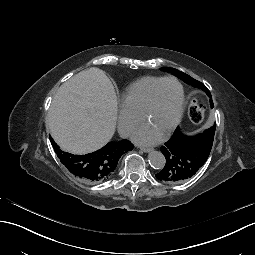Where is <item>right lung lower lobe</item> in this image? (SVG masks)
I'll list each match as a JSON object with an SVG mask.
<instances>
[{
  "mask_svg": "<svg viewBox=\"0 0 255 255\" xmlns=\"http://www.w3.org/2000/svg\"><path fill=\"white\" fill-rule=\"evenodd\" d=\"M83 178L85 180H92L100 174V159L87 155L83 158Z\"/></svg>",
  "mask_w": 255,
  "mask_h": 255,
  "instance_id": "obj_1",
  "label": "right lung lower lobe"
}]
</instances>
